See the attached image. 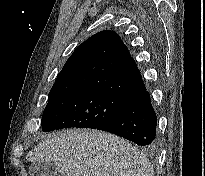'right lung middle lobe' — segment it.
<instances>
[{
  "label": "right lung middle lobe",
  "mask_w": 205,
  "mask_h": 176,
  "mask_svg": "<svg viewBox=\"0 0 205 176\" xmlns=\"http://www.w3.org/2000/svg\"><path fill=\"white\" fill-rule=\"evenodd\" d=\"M127 100L101 91L49 96L42 116V130L48 132L70 127L97 129L108 122Z\"/></svg>",
  "instance_id": "1"
}]
</instances>
